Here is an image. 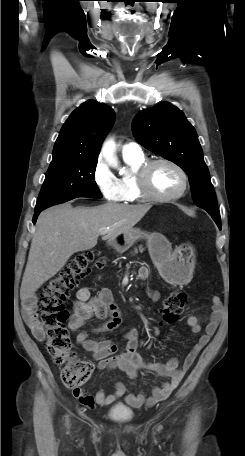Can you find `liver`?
Listing matches in <instances>:
<instances>
[{
    "mask_svg": "<svg viewBox=\"0 0 245 456\" xmlns=\"http://www.w3.org/2000/svg\"><path fill=\"white\" fill-rule=\"evenodd\" d=\"M151 208L150 204L106 203L76 207L66 203L44 210L38 217L20 298L26 300L66 264L70 256L97 245L99 235L112 240L133 228ZM107 232H101L106 229Z\"/></svg>",
    "mask_w": 245,
    "mask_h": 456,
    "instance_id": "liver-1",
    "label": "liver"
}]
</instances>
